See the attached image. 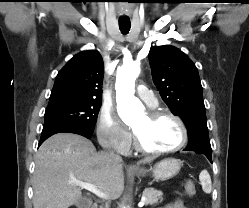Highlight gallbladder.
Wrapping results in <instances>:
<instances>
[{
  "label": "gallbladder",
  "instance_id": "gallbladder-1",
  "mask_svg": "<svg viewBox=\"0 0 249 208\" xmlns=\"http://www.w3.org/2000/svg\"><path fill=\"white\" fill-rule=\"evenodd\" d=\"M89 200L87 198H82L76 203L77 208H88Z\"/></svg>",
  "mask_w": 249,
  "mask_h": 208
}]
</instances>
